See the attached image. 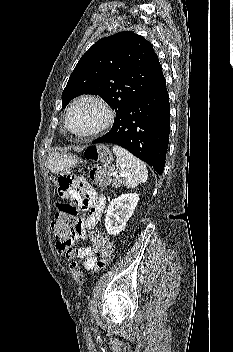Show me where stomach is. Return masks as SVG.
I'll use <instances>...</instances> for the list:
<instances>
[{
	"label": "stomach",
	"instance_id": "stomach-1",
	"mask_svg": "<svg viewBox=\"0 0 233 352\" xmlns=\"http://www.w3.org/2000/svg\"><path fill=\"white\" fill-rule=\"evenodd\" d=\"M78 158L67 153L52 152L47 158V167L53 173H63L71 169Z\"/></svg>",
	"mask_w": 233,
	"mask_h": 352
}]
</instances>
